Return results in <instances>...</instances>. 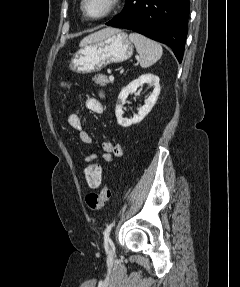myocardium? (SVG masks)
<instances>
[{"mask_svg":"<svg viewBox=\"0 0 240 287\" xmlns=\"http://www.w3.org/2000/svg\"><path fill=\"white\" fill-rule=\"evenodd\" d=\"M119 2H120V0H110L108 8L102 14H100L98 16H90L87 13L86 8H85L86 0H82L81 1V11L87 19L92 20V21H100V20H103V19L109 17L110 15H112L114 13V11L117 9Z\"/></svg>","mask_w":240,"mask_h":287,"instance_id":"1","label":"myocardium"}]
</instances>
